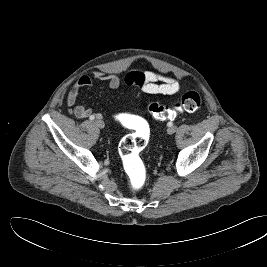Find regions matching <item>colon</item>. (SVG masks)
<instances>
[{"label": "colon", "instance_id": "1", "mask_svg": "<svg viewBox=\"0 0 267 267\" xmlns=\"http://www.w3.org/2000/svg\"><path fill=\"white\" fill-rule=\"evenodd\" d=\"M202 103L201 96L195 91H190L170 107L150 102L147 109L155 119L168 120L175 118L180 112H195L202 107ZM114 119L133 131L121 140L119 153L129 176L130 186L132 190L138 191L146 182V169L141 159V152L148 143L149 128L143 120L127 114H116Z\"/></svg>", "mask_w": 267, "mask_h": 267}]
</instances>
